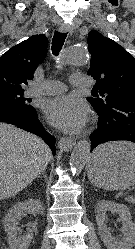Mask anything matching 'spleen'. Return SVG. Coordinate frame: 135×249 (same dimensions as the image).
<instances>
[{
  "instance_id": "1",
  "label": "spleen",
  "mask_w": 135,
  "mask_h": 249,
  "mask_svg": "<svg viewBox=\"0 0 135 249\" xmlns=\"http://www.w3.org/2000/svg\"><path fill=\"white\" fill-rule=\"evenodd\" d=\"M119 146H120V147H124V148H125V146H124V145H122V144H120Z\"/></svg>"
}]
</instances>
